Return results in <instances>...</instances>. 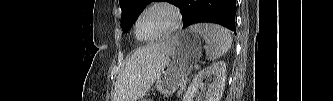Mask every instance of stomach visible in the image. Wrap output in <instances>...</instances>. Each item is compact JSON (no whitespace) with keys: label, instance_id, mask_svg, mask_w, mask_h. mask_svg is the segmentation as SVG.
I'll return each mask as SVG.
<instances>
[{"label":"stomach","instance_id":"1","mask_svg":"<svg viewBox=\"0 0 333 101\" xmlns=\"http://www.w3.org/2000/svg\"><path fill=\"white\" fill-rule=\"evenodd\" d=\"M166 63L156 79V89L164 94H173L184 82L202 54L201 36L191 30H183L167 41ZM140 101H152L141 99Z\"/></svg>","mask_w":333,"mask_h":101}]
</instances>
